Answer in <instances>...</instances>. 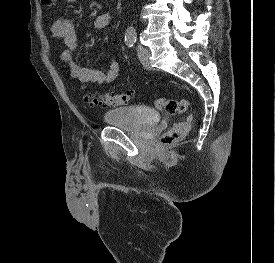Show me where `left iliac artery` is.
<instances>
[{
  "instance_id": "44dca946",
  "label": "left iliac artery",
  "mask_w": 275,
  "mask_h": 263,
  "mask_svg": "<svg viewBox=\"0 0 275 263\" xmlns=\"http://www.w3.org/2000/svg\"><path fill=\"white\" fill-rule=\"evenodd\" d=\"M136 40H137V34H136L135 28L129 27L125 33L126 45L129 47H132L136 43Z\"/></svg>"
}]
</instances>
